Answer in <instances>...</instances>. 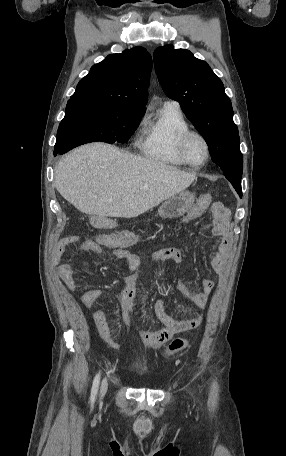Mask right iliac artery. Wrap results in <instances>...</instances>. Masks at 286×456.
<instances>
[{"instance_id": "obj_1", "label": "right iliac artery", "mask_w": 286, "mask_h": 456, "mask_svg": "<svg viewBox=\"0 0 286 456\" xmlns=\"http://www.w3.org/2000/svg\"><path fill=\"white\" fill-rule=\"evenodd\" d=\"M99 381H100V372L95 376L94 381H93V385H92V389H91V396H90L91 404H93L96 399V395H97L98 387H99Z\"/></svg>"}]
</instances>
